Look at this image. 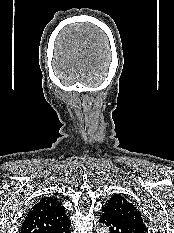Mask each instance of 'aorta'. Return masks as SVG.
Segmentation results:
<instances>
[{"mask_svg": "<svg viewBox=\"0 0 174 233\" xmlns=\"http://www.w3.org/2000/svg\"><path fill=\"white\" fill-rule=\"evenodd\" d=\"M99 231L100 233H109L106 228H100Z\"/></svg>", "mask_w": 174, "mask_h": 233, "instance_id": "obj_1", "label": "aorta"}]
</instances>
